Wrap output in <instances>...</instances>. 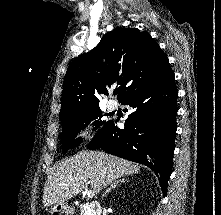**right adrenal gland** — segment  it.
Segmentation results:
<instances>
[{"label": "right adrenal gland", "instance_id": "2a0ac1e0", "mask_svg": "<svg viewBox=\"0 0 221 215\" xmlns=\"http://www.w3.org/2000/svg\"><path fill=\"white\" fill-rule=\"evenodd\" d=\"M125 180H126L125 178H122V179L117 180L114 183L110 184L102 196L103 197L106 196V194L111 192V190L115 189L116 187L120 186L123 182H125Z\"/></svg>", "mask_w": 221, "mask_h": 215}]
</instances>
